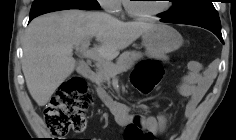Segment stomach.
I'll return each mask as SVG.
<instances>
[{
    "instance_id": "0dacf381",
    "label": "stomach",
    "mask_w": 236,
    "mask_h": 140,
    "mask_svg": "<svg viewBox=\"0 0 236 140\" xmlns=\"http://www.w3.org/2000/svg\"><path fill=\"white\" fill-rule=\"evenodd\" d=\"M146 52L150 56H163L179 49L183 38L173 27L166 24H156L142 34Z\"/></svg>"
}]
</instances>
